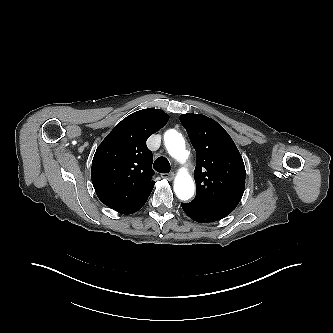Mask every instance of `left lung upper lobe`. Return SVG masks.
<instances>
[{
	"label": "left lung upper lobe",
	"mask_w": 333,
	"mask_h": 333,
	"mask_svg": "<svg viewBox=\"0 0 333 333\" xmlns=\"http://www.w3.org/2000/svg\"><path fill=\"white\" fill-rule=\"evenodd\" d=\"M180 121L196 150L192 202L229 215L245 188V166L235 143L219 123L205 115L182 114Z\"/></svg>",
	"instance_id": "left-lung-upper-lobe-1"
}]
</instances>
